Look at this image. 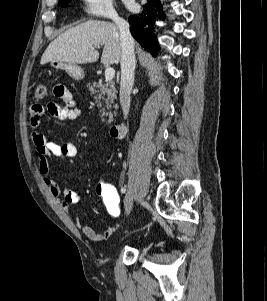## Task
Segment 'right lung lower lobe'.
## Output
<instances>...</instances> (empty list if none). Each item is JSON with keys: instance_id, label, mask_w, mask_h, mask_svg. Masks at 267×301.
Returning <instances> with one entry per match:
<instances>
[{"instance_id": "98d812e1", "label": "right lung lower lobe", "mask_w": 267, "mask_h": 301, "mask_svg": "<svg viewBox=\"0 0 267 301\" xmlns=\"http://www.w3.org/2000/svg\"><path fill=\"white\" fill-rule=\"evenodd\" d=\"M161 3L159 0H147L145 9L141 14L133 15L129 17V23L131 24V33L133 37L144 47L147 51H150L153 55H156V51L159 50L157 40L154 34L155 20L164 18L163 12L157 10L160 9Z\"/></svg>"}]
</instances>
